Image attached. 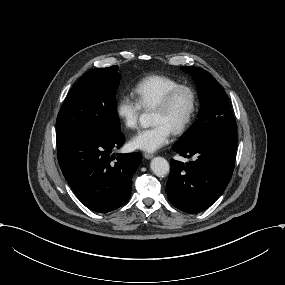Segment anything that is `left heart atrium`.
<instances>
[{
  "label": "left heart atrium",
  "instance_id": "obj_1",
  "mask_svg": "<svg viewBox=\"0 0 285 285\" xmlns=\"http://www.w3.org/2000/svg\"><path fill=\"white\" fill-rule=\"evenodd\" d=\"M172 129L162 123H154L141 130L132 138V145L144 151H155L167 144L170 140Z\"/></svg>",
  "mask_w": 285,
  "mask_h": 285
}]
</instances>
